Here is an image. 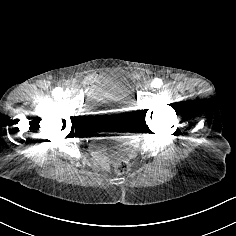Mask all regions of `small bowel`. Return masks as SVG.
<instances>
[{"mask_svg": "<svg viewBox=\"0 0 236 236\" xmlns=\"http://www.w3.org/2000/svg\"><path fill=\"white\" fill-rule=\"evenodd\" d=\"M101 78L99 72H93L86 78V84L91 85Z\"/></svg>", "mask_w": 236, "mask_h": 236, "instance_id": "c3829d8e", "label": "small bowel"}]
</instances>
